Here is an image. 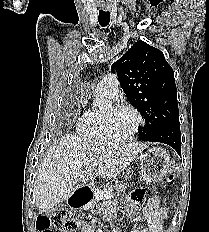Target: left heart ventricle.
<instances>
[{"instance_id":"left-heart-ventricle-1","label":"left heart ventricle","mask_w":209,"mask_h":232,"mask_svg":"<svg viewBox=\"0 0 209 232\" xmlns=\"http://www.w3.org/2000/svg\"><path fill=\"white\" fill-rule=\"evenodd\" d=\"M110 130L115 136H126L136 124L135 116L126 110L109 111Z\"/></svg>"}]
</instances>
